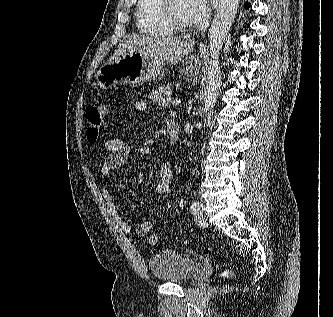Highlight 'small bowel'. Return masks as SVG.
Returning <instances> with one entry per match:
<instances>
[{"mask_svg": "<svg viewBox=\"0 0 333 317\" xmlns=\"http://www.w3.org/2000/svg\"><path fill=\"white\" fill-rule=\"evenodd\" d=\"M133 106L134 109L138 112H145L147 110V103L143 99H136ZM104 147L107 151V154L101 166L100 174L104 179H106L114 171L120 169L128 162L131 150L130 146L122 137H114L105 140ZM159 175L160 181L155 187V192L158 194H168L171 190V184L173 182V171L169 162L161 164ZM101 191L110 213L122 231L126 233L135 232L137 236L143 237L146 236L154 227L156 221L147 220L133 228L128 222L123 220V218L118 213L114 198L105 183L102 185ZM171 208L172 202L167 200L165 202L164 213L169 212Z\"/></svg>", "mask_w": 333, "mask_h": 317, "instance_id": "obj_1", "label": "small bowel"}]
</instances>
